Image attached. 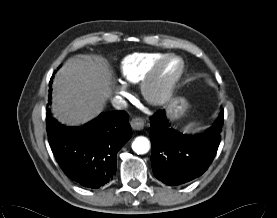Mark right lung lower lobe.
Wrapping results in <instances>:
<instances>
[{"instance_id":"98d812e1","label":"right lung lower lobe","mask_w":277,"mask_h":218,"mask_svg":"<svg viewBox=\"0 0 277 218\" xmlns=\"http://www.w3.org/2000/svg\"><path fill=\"white\" fill-rule=\"evenodd\" d=\"M46 115L49 144L64 173L87 188L108 183L116 172L117 152L132 136L129 115L125 111L101 113L80 127L61 125L49 109Z\"/></svg>"}]
</instances>
